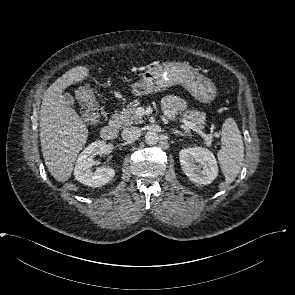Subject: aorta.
<instances>
[{"mask_svg": "<svg viewBox=\"0 0 295 295\" xmlns=\"http://www.w3.org/2000/svg\"><path fill=\"white\" fill-rule=\"evenodd\" d=\"M145 141L149 145H154L159 141V135L154 130H149L145 134Z\"/></svg>", "mask_w": 295, "mask_h": 295, "instance_id": "aorta-1", "label": "aorta"}]
</instances>
